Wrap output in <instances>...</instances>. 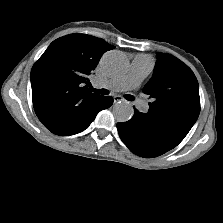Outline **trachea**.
<instances>
[{"label": "trachea", "instance_id": "1", "mask_svg": "<svg viewBox=\"0 0 223 223\" xmlns=\"http://www.w3.org/2000/svg\"><path fill=\"white\" fill-rule=\"evenodd\" d=\"M91 91H94V92H96L98 94H102V95H108L109 94V92L106 89L96 90L94 88H91Z\"/></svg>", "mask_w": 223, "mask_h": 223}]
</instances>
